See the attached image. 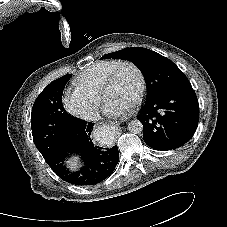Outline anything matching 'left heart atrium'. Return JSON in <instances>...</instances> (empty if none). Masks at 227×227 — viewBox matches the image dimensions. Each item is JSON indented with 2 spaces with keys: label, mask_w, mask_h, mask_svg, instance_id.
I'll return each mask as SVG.
<instances>
[{
  "label": "left heart atrium",
  "mask_w": 227,
  "mask_h": 227,
  "mask_svg": "<svg viewBox=\"0 0 227 227\" xmlns=\"http://www.w3.org/2000/svg\"><path fill=\"white\" fill-rule=\"evenodd\" d=\"M132 107V104L118 101H107L104 113L109 118H118L125 115Z\"/></svg>",
  "instance_id": "39dd6f15"
}]
</instances>
